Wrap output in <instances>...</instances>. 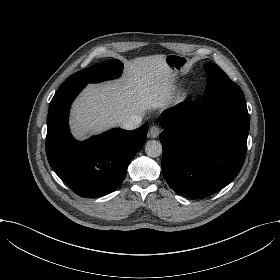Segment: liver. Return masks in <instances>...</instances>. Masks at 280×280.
I'll list each match as a JSON object with an SVG mask.
<instances>
[{"label": "liver", "instance_id": "obj_1", "mask_svg": "<svg viewBox=\"0 0 280 280\" xmlns=\"http://www.w3.org/2000/svg\"><path fill=\"white\" fill-rule=\"evenodd\" d=\"M165 54L135 57L123 63L120 77L88 83L73 100L68 117L71 136L79 141L98 137L132 115L140 117L159 109L155 99L177 97V75L165 64Z\"/></svg>", "mask_w": 280, "mask_h": 280}]
</instances>
